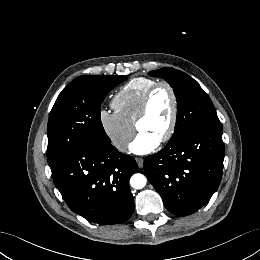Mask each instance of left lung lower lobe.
I'll return each instance as SVG.
<instances>
[{"mask_svg": "<svg viewBox=\"0 0 260 260\" xmlns=\"http://www.w3.org/2000/svg\"><path fill=\"white\" fill-rule=\"evenodd\" d=\"M221 123L195 127L144 160L150 183L168 211L184 216L199 210L217 190L223 170Z\"/></svg>", "mask_w": 260, "mask_h": 260, "instance_id": "0a47b994", "label": "left lung lower lobe"}]
</instances>
